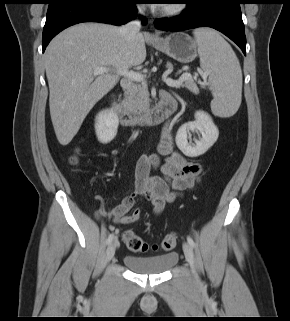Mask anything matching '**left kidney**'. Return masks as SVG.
Here are the masks:
<instances>
[{"instance_id":"obj_1","label":"left kidney","mask_w":290,"mask_h":321,"mask_svg":"<svg viewBox=\"0 0 290 321\" xmlns=\"http://www.w3.org/2000/svg\"><path fill=\"white\" fill-rule=\"evenodd\" d=\"M200 133L201 138L195 139V144L188 140L190 133ZM218 128L212 118L203 111L195 113V121L183 124L177 131L176 144L178 148L188 157H197L204 154L217 141Z\"/></svg>"}]
</instances>
